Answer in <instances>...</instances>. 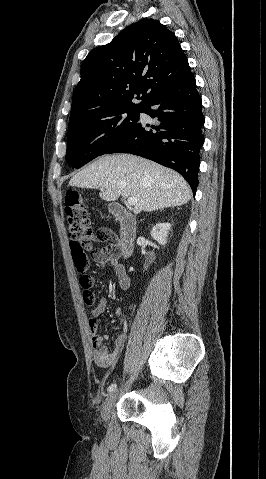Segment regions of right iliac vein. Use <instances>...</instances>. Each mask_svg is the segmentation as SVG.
<instances>
[{"label":"right iliac vein","instance_id":"63e3f726","mask_svg":"<svg viewBox=\"0 0 266 479\" xmlns=\"http://www.w3.org/2000/svg\"><path fill=\"white\" fill-rule=\"evenodd\" d=\"M117 396H118V391H113L106 398V400H105V402L102 406V411H101V416H102V419L104 421L108 420V418L110 416L111 409H112L113 404L115 403V401L117 399Z\"/></svg>","mask_w":266,"mask_h":479}]
</instances>
